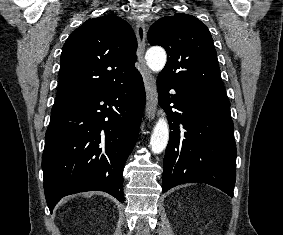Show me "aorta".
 Segmentation results:
<instances>
[{"label": "aorta", "mask_w": 283, "mask_h": 235, "mask_svg": "<svg viewBox=\"0 0 283 235\" xmlns=\"http://www.w3.org/2000/svg\"><path fill=\"white\" fill-rule=\"evenodd\" d=\"M148 67L156 73H159L167 61L166 52L161 47L150 48L145 55ZM169 140V125L165 117H160L154 126L150 147L153 153H161L167 146Z\"/></svg>", "instance_id": "aorta-1"}]
</instances>
